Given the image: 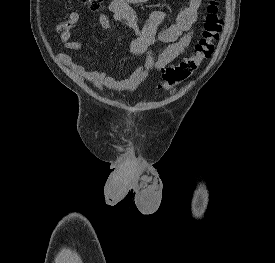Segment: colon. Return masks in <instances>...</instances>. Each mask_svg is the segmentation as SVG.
<instances>
[{"label":"colon","instance_id":"obj_1","mask_svg":"<svg viewBox=\"0 0 275 263\" xmlns=\"http://www.w3.org/2000/svg\"><path fill=\"white\" fill-rule=\"evenodd\" d=\"M80 2L94 11H98L103 0H80ZM222 24L223 20L219 13L217 1L211 0L207 7L202 35L195 45L194 52L179 63L165 68L158 89L167 91L182 83L191 77L205 60L211 57L214 52L215 42L219 39L221 33Z\"/></svg>","mask_w":275,"mask_h":263}]
</instances>
